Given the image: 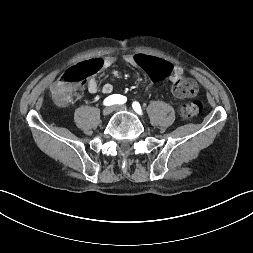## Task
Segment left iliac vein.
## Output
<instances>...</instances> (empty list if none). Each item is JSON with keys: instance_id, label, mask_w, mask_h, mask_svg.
Segmentation results:
<instances>
[{"instance_id": "obj_1", "label": "left iliac vein", "mask_w": 253, "mask_h": 253, "mask_svg": "<svg viewBox=\"0 0 253 253\" xmlns=\"http://www.w3.org/2000/svg\"><path fill=\"white\" fill-rule=\"evenodd\" d=\"M113 109L115 111H125V110H127V106H125V105H117V106H114Z\"/></svg>"}]
</instances>
